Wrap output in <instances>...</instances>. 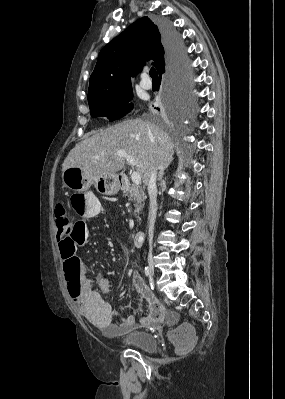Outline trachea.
Instances as JSON below:
<instances>
[{"label": "trachea", "instance_id": "1", "mask_svg": "<svg viewBox=\"0 0 285 399\" xmlns=\"http://www.w3.org/2000/svg\"><path fill=\"white\" fill-rule=\"evenodd\" d=\"M149 75L152 78V80H158V74H157V71L155 70V68L152 67L150 69Z\"/></svg>", "mask_w": 285, "mask_h": 399}]
</instances>
